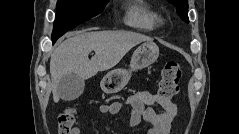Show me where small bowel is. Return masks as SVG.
<instances>
[{
    "instance_id": "c3829d8e",
    "label": "small bowel",
    "mask_w": 239,
    "mask_h": 134,
    "mask_svg": "<svg viewBox=\"0 0 239 134\" xmlns=\"http://www.w3.org/2000/svg\"><path fill=\"white\" fill-rule=\"evenodd\" d=\"M126 105L130 109V126L136 127L141 120L149 123L147 134H169L171 125L177 115L176 105L157 93L140 90L128 97ZM123 103L113 101L103 103L99 110L102 114L115 115L123 108ZM80 127H74L70 134H82Z\"/></svg>"
}]
</instances>
